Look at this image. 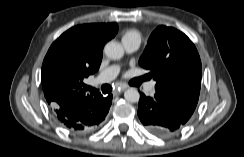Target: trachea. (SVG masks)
<instances>
[{"label": "trachea", "instance_id": "trachea-1", "mask_svg": "<svg viewBox=\"0 0 244 157\" xmlns=\"http://www.w3.org/2000/svg\"><path fill=\"white\" fill-rule=\"evenodd\" d=\"M147 78L146 77H143L142 78V81H144V80H146ZM89 89V91L91 92V94H94L97 90L96 89H94V88H92V87H89L88 88ZM101 90H102V92L104 93V94H106V93H109L111 90H112V88H111V86H109V85H103L102 87H101Z\"/></svg>", "mask_w": 244, "mask_h": 157}]
</instances>
